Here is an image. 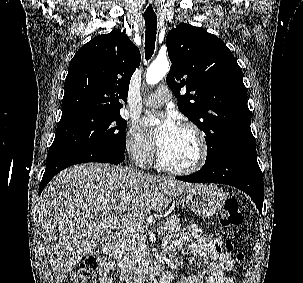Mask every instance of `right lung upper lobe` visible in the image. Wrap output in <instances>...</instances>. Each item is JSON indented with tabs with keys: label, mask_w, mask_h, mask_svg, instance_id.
<instances>
[{
	"label": "right lung upper lobe",
	"mask_w": 303,
	"mask_h": 283,
	"mask_svg": "<svg viewBox=\"0 0 303 283\" xmlns=\"http://www.w3.org/2000/svg\"><path fill=\"white\" fill-rule=\"evenodd\" d=\"M140 61L139 49L121 31L90 40L70 62L62 116L84 111L119 114L120 100L127 102L130 79Z\"/></svg>",
	"instance_id": "cb5924a9"
}]
</instances>
